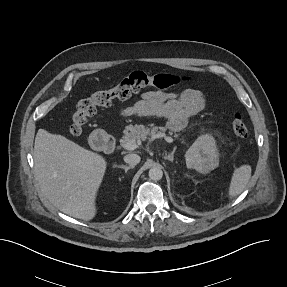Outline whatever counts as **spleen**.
<instances>
[{
  "mask_svg": "<svg viewBox=\"0 0 287 287\" xmlns=\"http://www.w3.org/2000/svg\"><path fill=\"white\" fill-rule=\"evenodd\" d=\"M251 178V166L250 165H241L238 168H235L231 182L228 189V194L230 197H235L243 192L246 185L248 184Z\"/></svg>",
  "mask_w": 287,
  "mask_h": 287,
  "instance_id": "obj_1",
  "label": "spleen"
}]
</instances>
